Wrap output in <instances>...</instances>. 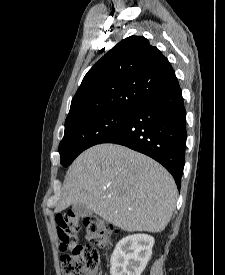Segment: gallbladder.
<instances>
[{
  "label": "gallbladder",
  "instance_id": "gallbladder-1",
  "mask_svg": "<svg viewBox=\"0 0 225 275\" xmlns=\"http://www.w3.org/2000/svg\"><path fill=\"white\" fill-rule=\"evenodd\" d=\"M72 211L78 217H85L92 213V211L83 203H77L72 206Z\"/></svg>",
  "mask_w": 225,
  "mask_h": 275
}]
</instances>
